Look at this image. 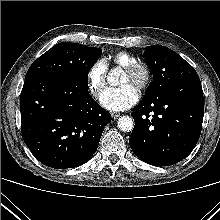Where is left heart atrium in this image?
<instances>
[{
	"label": "left heart atrium",
	"instance_id": "39dd6f15",
	"mask_svg": "<svg viewBox=\"0 0 220 220\" xmlns=\"http://www.w3.org/2000/svg\"><path fill=\"white\" fill-rule=\"evenodd\" d=\"M138 91L131 84L107 88L100 96V104L110 111H123L138 101Z\"/></svg>",
	"mask_w": 220,
	"mask_h": 220
}]
</instances>
